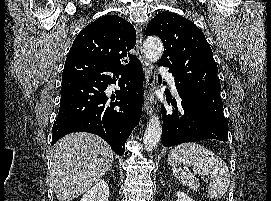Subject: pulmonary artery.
<instances>
[{"mask_svg":"<svg viewBox=\"0 0 271 201\" xmlns=\"http://www.w3.org/2000/svg\"><path fill=\"white\" fill-rule=\"evenodd\" d=\"M159 72H160V74H162L163 76H165L167 78V80H168L169 84L171 85V87L173 89H176L175 80H174V77L172 76V74L169 73L167 71V69H165V68H161Z\"/></svg>","mask_w":271,"mask_h":201,"instance_id":"obj_1","label":"pulmonary artery"}]
</instances>
